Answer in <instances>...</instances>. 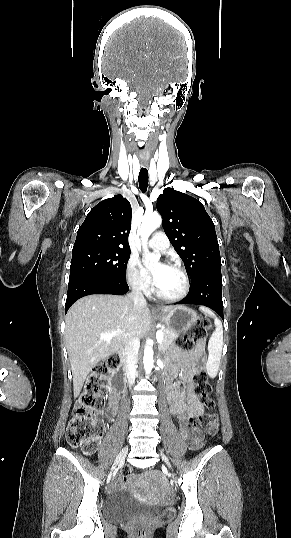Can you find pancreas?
<instances>
[{"mask_svg":"<svg viewBox=\"0 0 291 538\" xmlns=\"http://www.w3.org/2000/svg\"><path fill=\"white\" fill-rule=\"evenodd\" d=\"M161 331L163 333V341L159 344V347L161 350H163L173 343V341L178 337V333L173 332L167 328H162Z\"/></svg>","mask_w":291,"mask_h":538,"instance_id":"obj_1","label":"pancreas"}]
</instances>
